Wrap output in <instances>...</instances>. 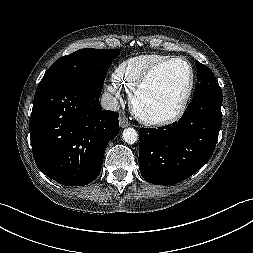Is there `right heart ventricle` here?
<instances>
[{
    "mask_svg": "<svg viewBox=\"0 0 253 253\" xmlns=\"http://www.w3.org/2000/svg\"><path fill=\"white\" fill-rule=\"evenodd\" d=\"M167 58L170 57L157 53L130 57L115 68L112 81L117 88L131 94L144 72L153 64Z\"/></svg>",
    "mask_w": 253,
    "mask_h": 253,
    "instance_id": "right-heart-ventricle-1",
    "label": "right heart ventricle"
}]
</instances>
